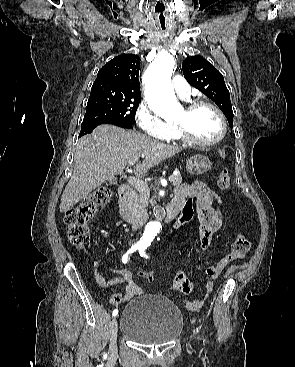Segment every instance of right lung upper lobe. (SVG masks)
I'll use <instances>...</instances> for the list:
<instances>
[{
    "label": "right lung upper lobe",
    "mask_w": 295,
    "mask_h": 367,
    "mask_svg": "<svg viewBox=\"0 0 295 367\" xmlns=\"http://www.w3.org/2000/svg\"><path fill=\"white\" fill-rule=\"evenodd\" d=\"M139 67L140 58L137 55L122 54L115 57L99 70L91 93L140 98Z\"/></svg>",
    "instance_id": "1"
}]
</instances>
